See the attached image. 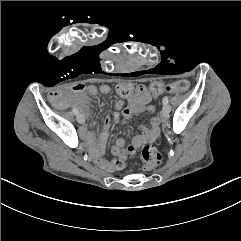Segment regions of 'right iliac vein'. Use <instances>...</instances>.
Instances as JSON below:
<instances>
[{"label": "right iliac vein", "mask_w": 241, "mask_h": 241, "mask_svg": "<svg viewBox=\"0 0 241 241\" xmlns=\"http://www.w3.org/2000/svg\"><path fill=\"white\" fill-rule=\"evenodd\" d=\"M76 119L80 124H83L85 122L84 116L82 114H77Z\"/></svg>", "instance_id": "right-iliac-vein-1"}]
</instances>
